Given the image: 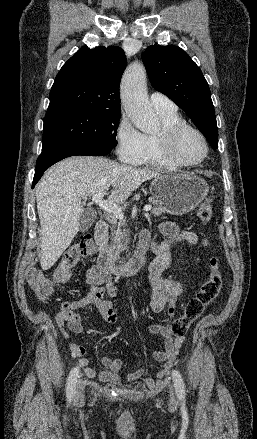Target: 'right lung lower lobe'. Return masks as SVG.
Wrapping results in <instances>:
<instances>
[{"label": "right lung lower lobe", "mask_w": 257, "mask_h": 439, "mask_svg": "<svg viewBox=\"0 0 257 439\" xmlns=\"http://www.w3.org/2000/svg\"><path fill=\"white\" fill-rule=\"evenodd\" d=\"M112 149H106L97 146L88 145H72L62 146L49 151L42 152L36 163V172L34 175L32 188L43 175V172L54 163L70 156L88 155V156H104L111 152Z\"/></svg>", "instance_id": "98d812e1"}]
</instances>
